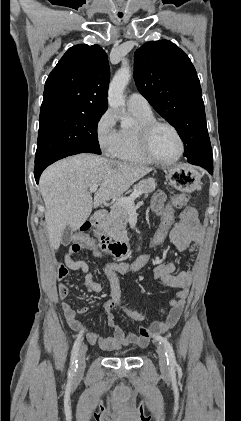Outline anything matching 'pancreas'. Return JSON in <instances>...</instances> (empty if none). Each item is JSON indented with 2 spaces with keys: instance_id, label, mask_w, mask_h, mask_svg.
Here are the masks:
<instances>
[{
  "instance_id": "1",
  "label": "pancreas",
  "mask_w": 241,
  "mask_h": 421,
  "mask_svg": "<svg viewBox=\"0 0 241 421\" xmlns=\"http://www.w3.org/2000/svg\"><path fill=\"white\" fill-rule=\"evenodd\" d=\"M156 182L153 178L141 180L134 185L132 193L141 191L142 194L148 195L155 191ZM129 220V208L114 205L110 213L106 216L101 224L102 231L113 239H124L127 236V223Z\"/></svg>"
}]
</instances>
